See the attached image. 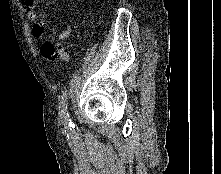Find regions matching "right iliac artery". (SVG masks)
Instances as JSON below:
<instances>
[{"label":"right iliac artery","instance_id":"82829eb1","mask_svg":"<svg viewBox=\"0 0 221 174\" xmlns=\"http://www.w3.org/2000/svg\"><path fill=\"white\" fill-rule=\"evenodd\" d=\"M60 117L61 121L66 128L73 127L69 114L67 113V93L66 91L63 93L61 102H60Z\"/></svg>","mask_w":221,"mask_h":174}]
</instances>
